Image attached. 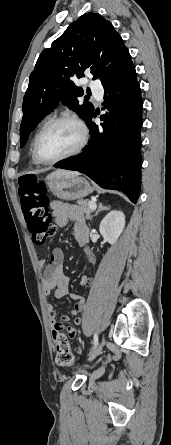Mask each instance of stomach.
<instances>
[{
  "mask_svg": "<svg viewBox=\"0 0 171 445\" xmlns=\"http://www.w3.org/2000/svg\"><path fill=\"white\" fill-rule=\"evenodd\" d=\"M46 180L50 191L61 200L82 199L94 191L91 184L80 176L49 175Z\"/></svg>",
  "mask_w": 171,
  "mask_h": 445,
  "instance_id": "1",
  "label": "stomach"
}]
</instances>
